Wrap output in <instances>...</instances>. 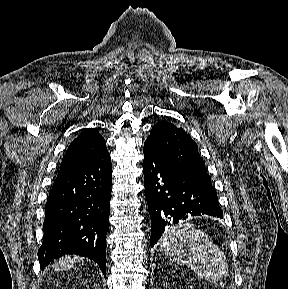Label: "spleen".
Here are the masks:
<instances>
[{
	"mask_svg": "<svg viewBox=\"0 0 288 289\" xmlns=\"http://www.w3.org/2000/svg\"><path fill=\"white\" fill-rule=\"evenodd\" d=\"M161 241L167 257L186 264L200 278L217 282L227 274L228 263L224 253L191 222L180 221L167 228Z\"/></svg>",
	"mask_w": 288,
	"mask_h": 289,
	"instance_id": "spleen-1",
	"label": "spleen"
}]
</instances>
